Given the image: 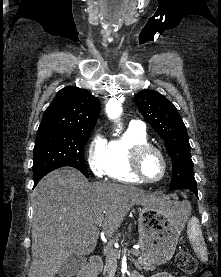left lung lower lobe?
<instances>
[{"mask_svg":"<svg viewBox=\"0 0 221 277\" xmlns=\"http://www.w3.org/2000/svg\"><path fill=\"white\" fill-rule=\"evenodd\" d=\"M188 189L190 191H192L198 197L197 187L196 186H190Z\"/></svg>","mask_w":221,"mask_h":277,"instance_id":"left-lung-lower-lobe-1","label":"left lung lower lobe"}]
</instances>
